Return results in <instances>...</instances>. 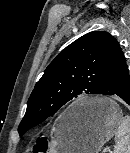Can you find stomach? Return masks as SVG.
<instances>
[{
  "label": "stomach",
  "mask_w": 130,
  "mask_h": 153,
  "mask_svg": "<svg viewBox=\"0 0 130 153\" xmlns=\"http://www.w3.org/2000/svg\"><path fill=\"white\" fill-rule=\"evenodd\" d=\"M84 108V113H76ZM122 117L118 105L107 97L80 99L59 117L52 130V147L55 153H99Z\"/></svg>",
  "instance_id": "obj_1"
}]
</instances>
